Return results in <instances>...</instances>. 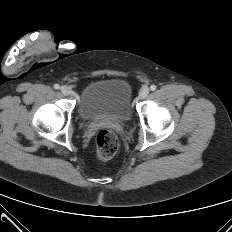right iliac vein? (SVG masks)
Segmentation results:
<instances>
[{"label": "right iliac vein", "instance_id": "right-iliac-vein-1", "mask_svg": "<svg viewBox=\"0 0 232 232\" xmlns=\"http://www.w3.org/2000/svg\"><path fill=\"white\" fill-rule=\"evenodd\" d=\"M60 91L63 95H69L70 94V88L68 86H61Z\"/></svg>", "mask_w": 232, "mask_h": 232}]
</instances>
